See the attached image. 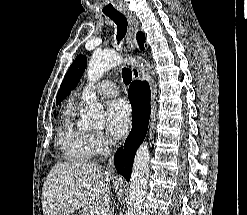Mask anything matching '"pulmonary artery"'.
I'll use <instances>...</instances> for the list:
<instances>
[{"instance_id": "pulmonary-artery-1", "label": "pulmonary artery", "mask_w": 247, "mask_h": 215, "mask_svg": "<svg viewBox=\"0 0 247 215\" xmlns=\"http://www.w3.org/2000/svg\"><path fill=\"white\" fill-rule=\"evenodd\" d=\"M95 91L97 95L109 98L117 95L118 87L110 80H102L95 86Z\"/></svg>"}]
</instances>
